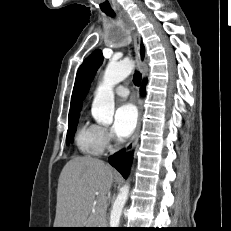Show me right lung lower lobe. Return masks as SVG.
Returning <instances> with one entry per match:
<instances>
[{"mask_svg":"<svg viewBox=\"0 0 231 231\" xmlns=\"http://www.w3.org/2000/svg\"><path fill=\"white\" fill-rule=\"evenodd\" d=\"M132 156V153H124L123 151H120L109 157V163L126 178L129 173Z\"/></svg>","mask_w":231,"mask_h":231,"instance_id":"98d812e1","label":"right lung lower lobe"}]
</instances>
